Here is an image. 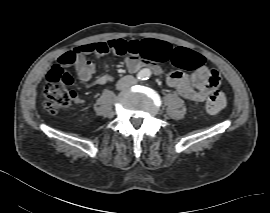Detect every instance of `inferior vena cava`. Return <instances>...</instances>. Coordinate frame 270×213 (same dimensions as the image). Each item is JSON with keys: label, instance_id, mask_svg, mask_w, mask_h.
<instances>
[{"label": "inferior vena cava", "instance_id": "obj_1", "mask_svg": "<svg viewBox=\"0 0 270 213\" xmlns=\"http://www.w3.org/2000/svg\"><path fill=\"white\" fill-rule=\"evenodd\" d=\"M129 78H131V77H124V78H122L121 80H120V84H121V88H124V87H127V86H129V84H125V81L127 80V79H129Z\"/></svg>", "mask_w": 270, "mask_h": 213}]
</instances>
